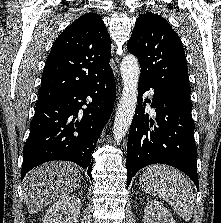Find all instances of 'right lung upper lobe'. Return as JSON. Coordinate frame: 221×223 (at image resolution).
<instances>
[{"mask_svg": "<svg viewBox=\"0 0 221 223\" xmlns=\"http://www.w3.org/2000/svg\"><path fill=\"white\" fill-rule=\"evenodd\" d=\"M111 39L101 16L87 13L56 39L42 74L36 105L70 94L110 69Z\"/></svg>", "mask_w": 221, "mask_h": 223, "instance_id": "right-lung-upper-lobe-1", "label": "right lung upper lobe"}]
</instances>
